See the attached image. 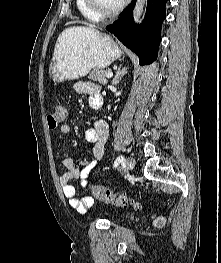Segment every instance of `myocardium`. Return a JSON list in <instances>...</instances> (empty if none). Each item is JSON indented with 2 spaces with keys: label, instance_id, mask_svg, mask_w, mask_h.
I'll return each mask as SVG.
<instances>
[{
  "label": "myocardium",
  "instance_id": "obj_1",
  "mask_svg": "<svg viewBox=\"0 0 221 263\" xmlns=\"http://www.w3.org/2000/svg\"><path fill=\"white\" fill-rule=\"evenodd\" d=\"M128 0H122L119 6L112 10H104L97 0H85L88 9L99 18H110L119 14L126 6Z\"/></svg>",
  "mask_w": 221,
  "mask_h": 263
}]
</instances>
